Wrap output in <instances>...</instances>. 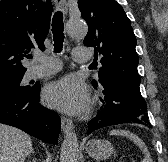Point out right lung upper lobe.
Here are the masks:
<instances>
[{
  "label": "right lung upper lobe",
  "instance_id": "obj_1",
  "mask_svg": "<svg viewBox=\"0 0 168 162\" xmlns=\"http://www.w3.org/2000/svg\"><path fill=\"white\" fill-rule=\"evenodd\" d=\"M52 12L50 1H0V75L25 73L21 61L27 51L45 49Z\"/></svg>",
  "mask_w": 168,
  "mask_h": 162
}]
</instances>
